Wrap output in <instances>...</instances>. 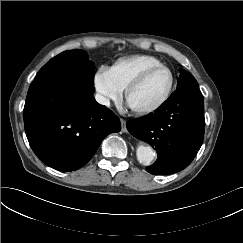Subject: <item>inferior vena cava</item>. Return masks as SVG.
<instances>
[{"instance_id":"obj_1","label":"inferior vena cava","mask_w":243,"mask_h":243,"mask_svg":"<svg viewBox=\"0 0 243 243\" xmlns=\"http://www.w3.org/2000/svg\"><path fill=\"white\" fill-rule=\"evenodd\" d=\"M95 99L99 104L110 106V100L101 94H96Z\"/></svg>"}]
</instances>
